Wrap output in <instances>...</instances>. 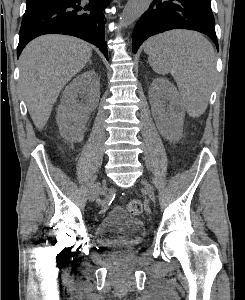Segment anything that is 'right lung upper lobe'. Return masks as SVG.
I'll return each mask as SVG.
<instances>
[{
	"label": "right lung upper lobe",
	"instance_id": "cb5924a9",
	"mask_svg": "<svg viewBox=\"0 0 245 300\" xmlns=\"http://www.w3.org/2000/svg\"><path fill=\"white\" fill-rule=\"evenodd\" d=\"M27 1H40V0H27Z\"/></svg>",
	"mask_w": 245,
	"mask_h": 300
}]
</instances>
